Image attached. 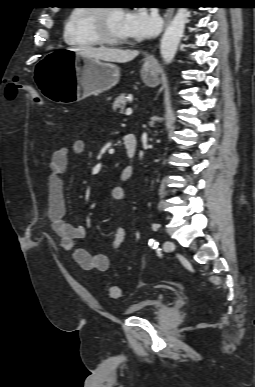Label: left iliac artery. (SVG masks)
<instances>
[{"instance_id":"1","label":"left iliac artery","mask_w":255,"mask_h":387,"mask_svg":"<svg viewBox=\"0 0 255 387\" xmlns=\"http://www.w3.org/2000/svg\"><path fill=\"white\" fill-rule=\"evenodd\" d=\"M149 246H150L151 248H153V249H156V248H158L159 243H158L156 240L151 239V240L149 241Z\"/></svg>"}]
</instances>
